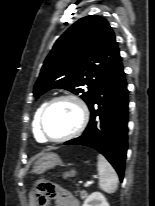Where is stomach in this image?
<instances>
[{"mask_svg":"<svg viewBox=\"0 0 155 206\" xmlns=\"http://www.w3.org/2000/svg\"><path fill=\"white\" fill-rule=\"evenodd\" d=\"M61 163L60 157L55 153H46L40 157L34 167L33 172L40 174L48 169H52Z\"/></svg>","mask_w":155,"mask_h":206,"instance_id":"1","label":"stomach"}]
</instances>
